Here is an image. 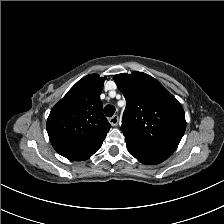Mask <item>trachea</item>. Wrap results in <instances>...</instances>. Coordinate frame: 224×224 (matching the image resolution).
<instances>
[{
  "instance_id": "1",
  "label": "trachea",
  "mask_w": 224,
  "mask_h": 224,
  "mask_svg": "<svg viewBox=\"0 0 224 224\" xmlns=\"http://www.w3.org/2000/svg\"><path fill=\"white\" fill-rule=\"evenodd\" d=\"M104 113L107 117L113 116L115 113V107L113 105H106L104 108Z\"/></svg>"
}]
</instances>
